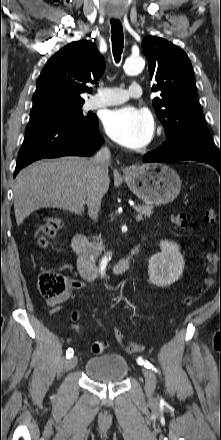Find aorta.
<instances>
[{
	"mask_svg": "<svg viewBox=\"0 0 221 440\" xmlns=\"http://www.w3.org/2000/svg\"><path fill=\"white\" fill-rule=\"evenodd\" d=\"M145 62L141 57H129L124 64V71L127 75L133 76L140 73L144 68ZM109 258L105 256L100 264V273L103 276Z\"/></svg>",
	"mask_w": 221,
	"mask_h": 440,
	"instance_id": "1",
	"label": "aorta"
}]
</instances>
